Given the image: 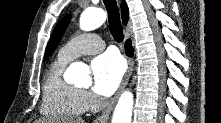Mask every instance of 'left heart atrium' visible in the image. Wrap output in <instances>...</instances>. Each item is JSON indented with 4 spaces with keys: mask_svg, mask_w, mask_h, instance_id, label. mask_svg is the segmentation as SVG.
<instances>
[{
    "mask_svg": "<svg viewBox=\"0 0 221 123\" xmlns=\"http://www.w3.org/2000/svg\"><path fill=\"white\" fill-rule=\"evenodd\" d=\"M94 90L104 96L111 95L118 87L124 73V62L113 52L103 53L91 62Z\"/></svg>",
    "mask_w": 221,
    "mask_h": 123,
    "instance_id": "obj_1",
    "label": "left heart atrium"
}]
</instances>
